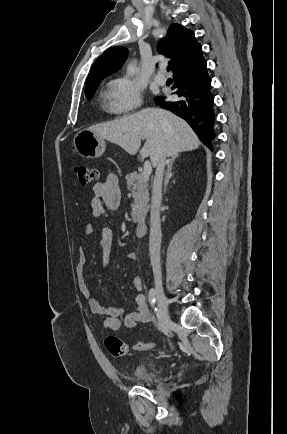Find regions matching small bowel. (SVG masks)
<instances>
[{"instance_id":"c3829d8e","label":"small bowel","mask_w":287,"mask_h":434,"mask_svg":"<svg viewBox=\"0 0 287 434\" xmlns=\"http://www.w3.org/2000/svg\"><path fill=\"white\" fill-rule=\"evenodd\" d=\"M94 196L90 201L91 215L97 219L109 211L115 210L120 202V187L118 177L110 172L104 181L97 182L93 185ZM97 233L100 237V246L102 249V269H106L109 262L110 252L114 241V230L109 226L96 227L93 222H89L85 227L86 235ZM125 259L128 262H135L137 254L134 251L125 253ZM87 256L82 249L78 250V264L76 267V283L80 293L87 299L88 306L93 314L104 316L102 326L116 331L121 326L127 329L135 328L139 323H148L151 314L147 305L146 297L143 293V282L140 276H135L133 285L136 290L135 311L129 315H124L123 309L100 303L97 299L91 297L90 289L86 283L85 269L87 266Z\"/></svg>"}]
</instances>
